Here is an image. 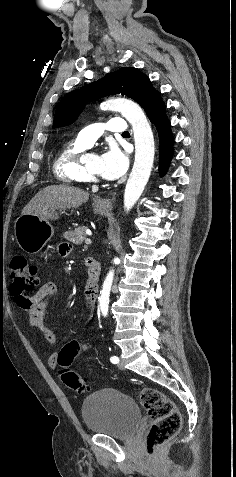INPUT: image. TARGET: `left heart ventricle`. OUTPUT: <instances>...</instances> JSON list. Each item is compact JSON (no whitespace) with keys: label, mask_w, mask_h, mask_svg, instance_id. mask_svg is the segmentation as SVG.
<instances>
[{"label":"left heart ventricle","mask_w":236,"mask_h":477,"mask_svg":"<svg viewBox=\"0 0 236 477\" xmlns=\"http://www.w3.org/2000/svg\"><path fill=\"white\" fill-rule=\"evenodd\" d=\"M88 167L95 173L101 175V160L100 156L93 155L88 161Z\"/></svg>","instance_id":"obj_1"}]
</instances>
